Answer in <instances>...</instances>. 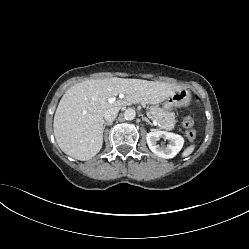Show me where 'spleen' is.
Instances as JSON below:
<instances>
[{
	"mask_svg": "<svg viewBox=\"0 0 249 249\" xmlns=\"http://www.w3.org/2000/svg\"><path fill=\"white\" fill-rule=\"evenodd\" d=\"M194 148H195L194 145H191V146L187 147V148L183 151L182 157H187V156H189V155L194 151Z\"/></svg>",
	"mask_w": 249,
	"mask_h": 249,
	"instance_id": "spleen-1",
	"label": "spleen"
}]
</instances>
